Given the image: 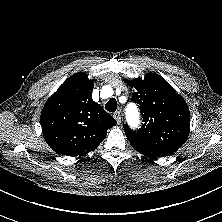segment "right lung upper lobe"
<instances>
[{
    "mask_svg": "<svg viewBox=\"0 0 222 222\" xmlns=\"http://www.w3.org/2000/svg\"><path fill=\"white\" fill-rule=\"evenodd\" d=\"M93 80L69 77L48 99L41 113L45 141L58 154L83 156L95 150L116 121L92 100Z\"/></svg>",
    "mask_w": 222,
    "mask_h": 222,
    "instance_id": "1",
    "label": "right lung upper lobe"
}]
</instances>
